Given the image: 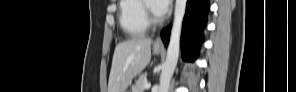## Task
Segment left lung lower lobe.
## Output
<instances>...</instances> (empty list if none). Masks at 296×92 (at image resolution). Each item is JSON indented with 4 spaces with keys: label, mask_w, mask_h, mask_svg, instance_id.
<instances>
[{
    "label": "left lung lower lobe",
    "mask_w": 296,
    "mask_h": 92,
    "mask_svg": "<svg viewBox=\"0 0 296 92\" xmlns=\"http://www.w3.org/2000/svg\"><path fill=\"white\" fill-rule=\"evenodd\" d=\"M209 0H188L182 30V57L193 61L197 58L202 42V30L206 25ZM170 28L162 31V40L167 46Z\"/></svg>",
    "instance_id": "obj_1"
}]
</instances>
